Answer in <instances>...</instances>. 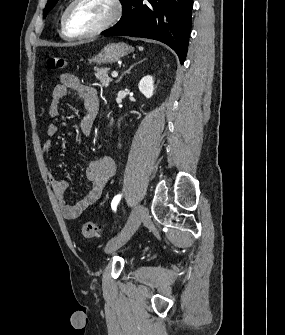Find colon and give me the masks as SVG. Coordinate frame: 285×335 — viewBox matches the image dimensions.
Here are the masks:
<instances>
[{
  "instance_id": "colon-1",
  "label": "colon",
  "mask_w": 285,
  "mask_h": 335,
  "mask_svg": "<svg viewBox=\"0 0 285 335\" xmlns=\"http://www.w3.org/2000/svg\"><path fill=\"white\" fill-rule=\"evenodd\" d=\"M67 61L59 56H50L46 61V67L51 70L63 69ZM81 232L86 238H94L98 236L99 229L93 222H85L81 226Z\"/></svg>"
}]
</instances>
